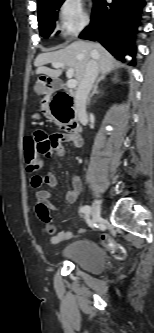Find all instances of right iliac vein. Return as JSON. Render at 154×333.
I'll list each match as a JSON object with an SVG mask.
<instances>
[{"instance_id": "63e3f726", "label": "right iliac vein", "mask_w": 154, "mask_h": 333, "mask_svg": "<svg viewBox=\"0 0 154 333\" xmlns=\"http://www.w3.org/2000/svg\"><path fill=\"white\" fill-rule=\"evenodd\" d=\"M101 214V203L98 200L93 202L92 206V219L94 222H97Z\"/></svg>"}]
</instances>
